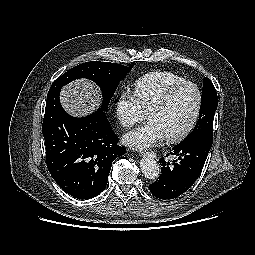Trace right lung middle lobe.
<instances>
[{
	"label": "right lung middle lobe",
	"mask_w": 255,
	"mask_h": 255,
	"mask_svg": "<svg viewBox=\"0 0 255 255\" xmlns=\"http://www.w3.org/2000/svg\"><path fill=\"white\" fill-rule=\"evenodd\" d=\"M127 66L116 63L90 61L77 65L61 75L49 89L47 97L60 91L69 82L87 78L94 81L102 91V105L98 109L104 112L113 97L120 80L130 71Z\"/></svg>",
	"instance_id": "right-lung-middle-lobe-1"
}]
</instances>
